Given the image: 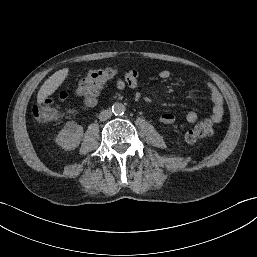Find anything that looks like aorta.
Instances as JSON below:
<instances>
[{
    "mask_svg": "<svg viewBox=\"0 0 257 257\" xmlns=\"http://www.w3.org/2000/svg\"><path fill=\"white\" fill-rule=\"evenodd\" d=\"M125 111H126V107L122 103L117 102V103H114L112 106V112L115 115H123Z\"/></svg>",
    "mask_w": 257,
    "mask_h": 257,
    "instance_id": "aorta-1",
    "label": "aorta"
}]
</instances>
